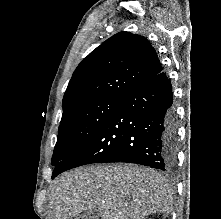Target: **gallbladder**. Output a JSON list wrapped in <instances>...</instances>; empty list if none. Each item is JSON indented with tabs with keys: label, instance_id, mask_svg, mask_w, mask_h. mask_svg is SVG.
<instances>
[{
	"label": "gallbladder",
	"instance_id": "bac80fb5",
	"mask_svg": "<svg viewBox=\"0 0 221 219\" xmlns=\"http://www.w3.org/2000/svg\"><path fill=\"white\" fill-rule=\"evenodd\" d=\"M100 213L98 209L88 210L85 211L81 216L80 219H99Z\"/></svg>",
	"mask_w": 221,
	"mask_h": 219
}]
</instances>
